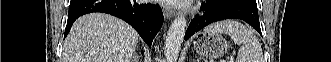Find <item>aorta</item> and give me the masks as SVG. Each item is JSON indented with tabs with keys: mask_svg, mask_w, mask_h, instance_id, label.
<instances>
[{
	"mask_svg": "<svg viewBox=\"0 0 331 62\" xmlns=\"http://www.w3.org/2000/svg\"><path fill=\"white\" fill-rule=\"evenodd\" d=\"M187 27L186 19L183 15L178 16L172 22L164 45V55L167 62H176L179 56L181 45Z\"/></svg>",
	"mask_w": 331,
	"mask_h": 62,
	"instance_id": "1",
	"label": "aorta"
}]
</instances>
